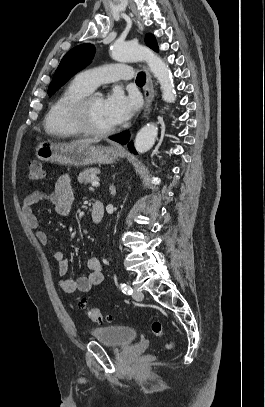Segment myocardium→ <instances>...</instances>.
Wrapping results in <instances>:
<instances>
[{"label": "myocardium", "mask_w": 265, "mask_h": 407, "mask_svg": "<svg viewBox=\"0 0 265 407\" xmlns=\"http://www.w3.org/2000/svg\"><path fill=\"white\" fill-rule=\"evenodd\" d=\"M96 98H101V96L96 93H89L75 100L69 107L68 118L72 126L83 135L95 138L107 137L115 132V127L97 130L89 122V108Z\"/></svg>", "instance_id": "f54148a6"}]
</instances>
